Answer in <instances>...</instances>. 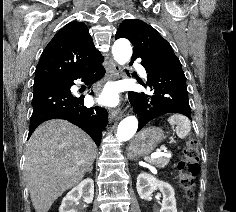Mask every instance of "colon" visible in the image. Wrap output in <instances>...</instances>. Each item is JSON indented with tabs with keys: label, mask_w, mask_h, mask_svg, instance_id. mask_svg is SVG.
Masks as SVG:
<instances>
[{
	"label": "colon",
	"mask_w": 236,
	"mask_h": 212,
	"mask_svg": "<svg viewBox=\"0 0 236 212\" xmlns=\"http://www.w3.org/2000/svg\"><path fill=\"white\" fill-rule=\"evenodd\" d=\"M200 152L198 142L190 139L186 142L182 158L178 163L179 183L189 200L194 199L196 177L200 171Z\"/></svg>",
	"instance_id": "1"
}]
</instances>
